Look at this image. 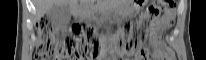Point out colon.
<instances>
[{
    "label": "colon",
    "mask_w": 206,
    "mask_h": 60,
    "mask_svg": "<svg viewBox=\"0 0 206 60\" xmlns=\"http://www.w3.org/2000/svg\"><path fill=\"white\" fill-rule=\"evenodd\" d=\"M175 5L174 0L152 1L135 23H125L113 37L121 59L143 56L151 25L170 18ZM37 35V60H93L102 53L96 29L87 24H73L69 34L60 39L50 21L42 18L37 23Z\"/></svg>",
    "instance_id": "obj_1"
}]
</instances>
